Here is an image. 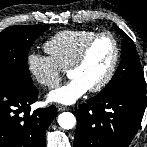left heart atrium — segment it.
<instances>
[{
	"label": "left heart atrium",
	"mask_w": 147,
	"mask_h": 147,
	"mask_svg": "<svg viewBox=\"0 0 147 147\" xmlns=\"http://www.w3.org/2000/svg\"><path fill=\"white\" fill-rule=\"evenodd\" d=\"M89 87L77 78H71L64 85L52 90L47 95L48 102L71 105L79 100L86 92Z\"/></svg>",
	"instance_id": "39dd6f15"
}]
</instances>
